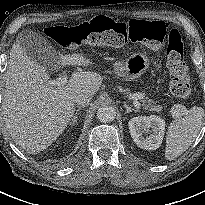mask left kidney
Here are the masks:
<instances>
[{"label":"left kidney","instance_id":"1","mask_svg":"<svg viewBox=\"0 0 205 205\" xmlns=\"http://www.w3.org/2000/svg\"><path fill=\"white\" fill-rule=\"evenodd\" d=\"M129 131L135 144L145 150H156L160 147L165 133L164 119L151 115L133 117L128 122ZM151 128V130H149ZM151 132L149 137L143 133Z\"/></svg>","mask_w":205,"mask_h":205}]
</instances>
